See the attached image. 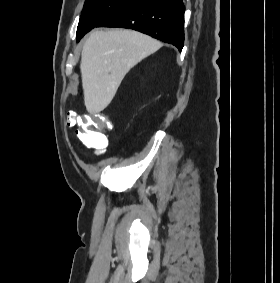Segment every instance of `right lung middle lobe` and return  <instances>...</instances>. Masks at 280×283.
Returning <instances> with one entry per match:
<instances>
[{
	"instance_id": "dd1d6c3e",
	"label": "right lung middle lobe",
	"mask_w": 280,
	"mask_h": 283,
	"mask_svg": "<svg viewBox=\"0 0 280 283\" xmlns=\"http://www.w3.org/2000/svg\"><path fill=\"white\" fill-rule=\"evenodd\" d=\"M135 0H86L77 27V41L104 19Z\"/></svg>"
}]
</instances>
